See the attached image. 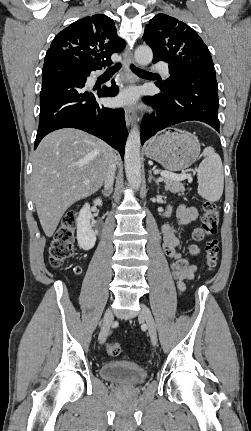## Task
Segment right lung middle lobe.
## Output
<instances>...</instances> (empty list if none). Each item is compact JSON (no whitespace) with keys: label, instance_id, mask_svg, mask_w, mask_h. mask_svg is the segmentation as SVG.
Instances as JSON below:
<instances>
[{"label":"right lung middle lobe","instance_id":"1","mask_svg":"<svg viewBox=\"0 0 251 431\" xmlns=\"http://www.w3.org/2000/svg\"><path fill=\"white\" fill-rule=\"evenodd\" d=\"M63 64H64L63 61H57V62L53 63L51 66L63 65ZM69 65L73 66V64H69ZM51 66H49V67H51Z\"/></svg>","mask_w":251,"mask_h":431}]
</instances>
